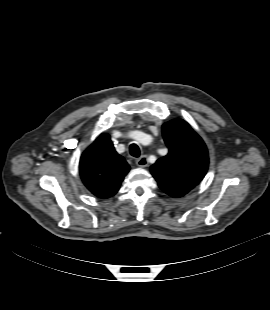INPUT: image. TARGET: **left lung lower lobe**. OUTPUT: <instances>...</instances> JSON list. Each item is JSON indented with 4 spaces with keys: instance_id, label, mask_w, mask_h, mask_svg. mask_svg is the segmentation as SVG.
Returning a JSON list of instances; mask_svg holds the SVG:
<instances>
[{
    "instance_id": "left-lung-lower-lobe-1",
    "label": "left lung lower lobe",
    "mask_w": 270,
    "mask_h": 310,
    "mask_svg": "<svg viewBox=\"0 0 270 310\" xmlns=\"http://www.w3.org/2000/svg\"><path fill=\"white\" fill-rule=\"evenodd\" d=\"M167 194H169L170 196L173 197H181L183 195H185L188 192H184V191H165Z\"/></svg>"
}]
</instances>
